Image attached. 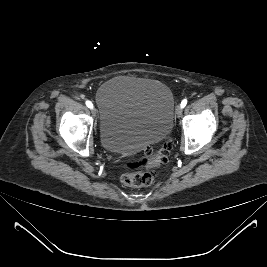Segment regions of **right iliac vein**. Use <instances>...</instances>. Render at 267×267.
<instances>
[{"label":"right iliac vein","instance_id":"63e3f726","mask_svg":"<svg viewBox=\"0 0 267 267\" xmlns=\"http://www.w3.org/2000/svg\"><path fill=\"white\" fill-rule=\"evenodd\" d=\"M92 114H93L94 116H96V114H97V110H96L95 107H92Z\"/></svg>","mask_w":267,"mask_h":267}]
</instances>
